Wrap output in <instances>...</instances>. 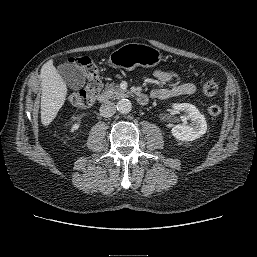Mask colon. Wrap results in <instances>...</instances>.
Wrapping results in <instances>:
<instances>
[{"instance_id":"5ec220e1","label":"colon","mask_w":257,"mask_h":257,"mask_svg":"<svg viewBox=\"0 0 257 257\" xmlns=\"http://www.w3.org/2000/svg\"><path fill=\"white\" fill-rule=\"evenodd\" d=\"M72 62L83 71L87 84L84 89L71 93L68 97L69 102L81 108L90 107L102 88L98 68L89 57L74 58ZM217 91L218 84L213 79L207 80L202 86V92L206 96H213ZM208 112L211 116H218L222 112V108L218 104H211Z\"/></svg>"}]
</instances>
